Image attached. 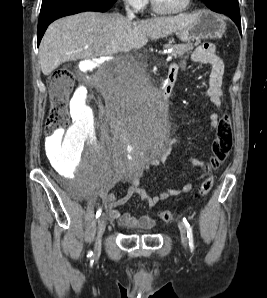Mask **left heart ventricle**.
Listing matches in <instances>:
<instances>
[{"label":"left heart ventricle","instance_id":"b2bd125f","mask_svg":"<svg viewBox=\"0 0 267 298\" xmlns=\"http://www.w3.org/2000/svg\"><path fill=\"white\" fill-rule=\"evenodd\" d=\"M159 7L165 11H178L186 3V0H156Z\"/></svg>","mask_w":267,"mask_h":298}]
</instances>
